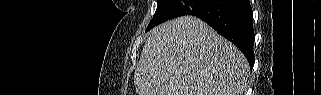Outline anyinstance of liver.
I'll list each match as a JSON object with an SVG mask.
<instances>
[{"label": "liver", "mask_w": 321, "mask_h": 95, "mask_svg": "<svg viewBox=\"0 0 321 95\" xmlns=\"http://www.w3.org/2000/svg\"><path fill=\"white\" fill-rule=\"evenodd\" d=\"M249 64L202 20L183 16L149 32L134 73L138 95H242Z\"/></svg>", "instance_id": "1"}]
</instances>
